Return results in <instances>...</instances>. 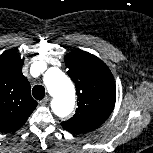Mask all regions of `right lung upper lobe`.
Returning a JSON list of instances; mask_svg holds the SVG:
<instances>
[{
  "instance_id": "cb5924a9",
  "label": "right lung upper lobe",
  "mask_w": 153,
  "mask_h": 153,
  "mask_svg": "<svg viewBox=\"0 0 153 153\" xmlns=\"http://www.w3.org/2000/svg\"><path fill=\"white\" fill-rule=\"evenodd\" d=\"M23 59L15 50L0 55V131L21 128L37 102L31 97L30 84L22 74Z\"/></svg>"
}]
</instances>
